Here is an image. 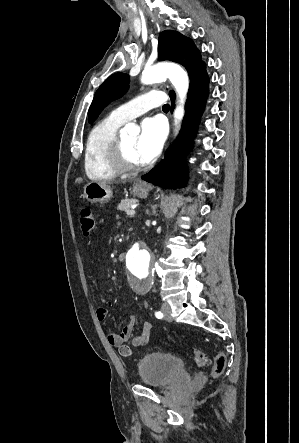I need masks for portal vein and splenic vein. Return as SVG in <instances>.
<instances>
[{"label":"portal vein and splenic vein","mask_w":299,"mask_h":443,"mask_svg":"<svg viewBox=\"0 0 299 443\" xmlns=\"http://www.w3.org/2000/svg\"><path fill=\"white\" fill-rule=\"evenodd\" d=\"M126 214H127V216H133V215H135V210H128V211H126Z\"/></svg>","instance_id":"portal-vein-and-splenic-vein-1"}]
</instances>
